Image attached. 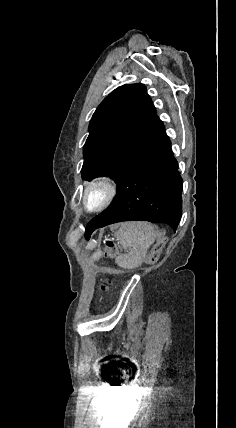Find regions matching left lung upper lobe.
<instances>
[{"mask_svg":"<svg viewBox=\"0 0 236 428\" xmlns=\"http://www.w3.org/2000/svg\"><path fill=\"white\" fill-rule=\"evenodd\" d=\"M159 117L143 84L110 93L94 112L83 149L82 178L109 176L118 183Z\"/></svg>","mask_w":236,"mask_h":428,"instance_id":"obj_1","label":"left lung upper lobe"}]
</instances>
